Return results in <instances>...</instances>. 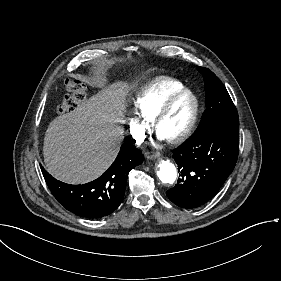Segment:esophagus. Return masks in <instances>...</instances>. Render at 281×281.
Here are the masks:
<instances>
[{
  "mask_svg": "<svg viewBox=\"0 0 281 281\" xmlns=\"http://www.w3.org/2000/svg\"><path fill=\"white\" fill-rule=\"evenodd\" d=\"M160 156V153L159 152H146V157L148 159H156L157 157Z\"/></svg>",
  "mask_w": 281,
  "mask_h": 281,
  "instance_id": "34e87169",
  "label": "esophagus"
}]
</instances>
